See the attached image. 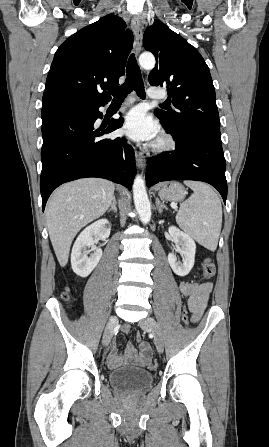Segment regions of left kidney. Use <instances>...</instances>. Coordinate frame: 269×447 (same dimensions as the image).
Listing matches in <instances>:
<instances>
[{
    "mask_svg": "<svg viewBox=\"0 0 269 447\" xmlns=\"http://www.w3.org/2000/svg\"><path fill=\"white\" fill-rule=\"evenodd\" d=\"M168 231L171 237H173L174 243H176V247H174V249L180 251L184 257L183 263H180V261H177L175 253L171 251V253H168V261L174 273L184 277V275H187L194 265L196 243L190 235H187V233H184V231H181V229H178L175 225H170V227H168Z\"/></svg>",
    "mask_w": 269,
    "mask_h": 447,
    "instance_id": "1",
    "label": "left kidney"
}]
</instances>
